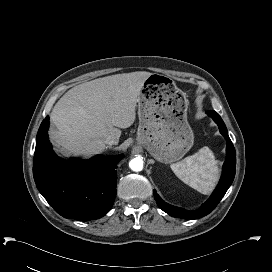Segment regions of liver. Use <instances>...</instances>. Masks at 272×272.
<instances>
[{
	"instance_id": "liver-1",
	"label": "liver",
	"mask_w": 272,
	"mask_h": 272,
	"mask_svg": "<svg viewBox=\"0 0 272 272\" xmlns=\"http://www.w3.org/2000/svg\"><path fill=\"white\" fill-rule=\"evenodd\" d=\"M151 74H116L71 88L51 112L56 127L50 131L53 144L76 156L103 152L107 137L119 140L120 128L134 123L139 93Z\"/></svg>"
}]
</instances>
